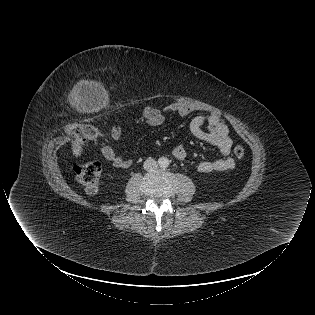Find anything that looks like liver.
<instances>
[{
  "instance_id": "1",
  "label": "liver",
  "mask_w": 315,
  "mask_h": 315,
  "mask_svg": "<svg viewBox=\"0 0 315 315\" xmlns=\"http://www.w3.org/2000/svg\"><path fill=\"white\" fill-rule=\"evenodd\" d=\"M88 83H90V82H88V81H81V82L79 83V85L88 84ZM94 84L97 85V83H94Z\"/></svg>"
}]
</instances>
